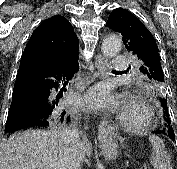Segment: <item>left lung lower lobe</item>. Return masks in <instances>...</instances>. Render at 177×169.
Listing matches in <instances>:
<instances>
[{"instance_id":"obj_1","label":"left lung lower lobe","mask_w":177,"mask_h":169,"mask_svg":"<svg viewBox=\"0 0 177 169\" xmlns=\"http://www.w3.org/2000/svg\"><path fill=\"white\" fill-rule=\"evenodd\" d=\"M159 100L161 102L163 99L160 98ZM153 133L164 134L168 136L172 141H175V135L173 132H171V128L156 130V131H153Z\"/></svg>"}]
</instances>
